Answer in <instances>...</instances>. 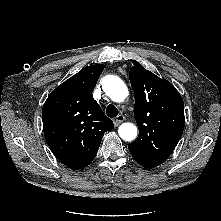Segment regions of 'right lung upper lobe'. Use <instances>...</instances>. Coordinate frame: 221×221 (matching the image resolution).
I'll return each mask as SVG.
<instances>
[{
	"mask_svg": "<svg viewBox=\"0 0 221 221\" xmlns=\"http://www.w3.org/2000/svg\"><path fill=\"white\" fill-rule=\"evenodd\" d=\"M103 69V64L82 69L54 89L43 106L46 142L53 154L74 170L95 158L104 133L114 127L92 97Z\"/></svg>",
	"mask_w": 221,
	"mask_h": 221,
	"instance_id": "right-lung-upper-lobe-1",
	"label": "right lung upper lobe"
}]
</instances>
